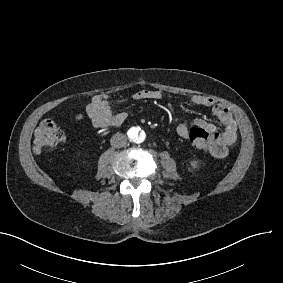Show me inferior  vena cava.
Wrapping results in <instances>:
<instances>
[{"label": "inferior vena cava", "instance_id": "602c4592", "mask_svg": "<svg viewBox=\"0 0 283 283\" xmlns=\"http://www.w3.org/2000/svg\"><path fill=\"white\" fill-rule=\"evenodd\" d=\"M110 144L115 148L125 147L127 144V137L122 133L114 134L110 139Z\"/></svg>", "mask_w": 283, "mask_h": 283}]
</instances>
